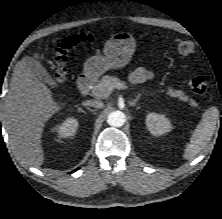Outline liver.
I'll return each instance as SVG.
<instances>
[{
    "label": "liver",
    "instance_id": "6515ba94",
    "mask_svg": "<svg viewBox=\"0 0 222 219\" xmlns=\"http://www.w3.org/2000/svg\"><path fill=\"white\" fill-rule=\"evenodd\" d=\"M39 59L40 54L34 53ZM25 57L16 63L5 99L6 130L19 158L34 167L44 161L41 145L46 121L62 106L53 99L50 89L33 73Z\"/></svg>",
    "mask_w": 222,
    "mask_h": 219
}]
</instances>
